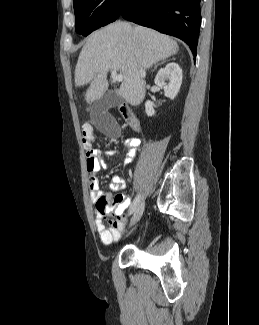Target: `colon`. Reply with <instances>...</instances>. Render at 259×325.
<instances>
[{"label": "colon", "instance_id": "colon-1", "mask_svg": "<svg viewBox=\"0 0 259 325\" xmlns=\"http://www.w3.org/2000/svg\"><path fill=\"white\" fill-rule=\"evenodd\" d=\"M93 126L91 124H85L81 131V140L86 149L91 148V143L93 140Z\"/></svg>", "mask_w": 259, "mask_h": 325}]
</instances>
